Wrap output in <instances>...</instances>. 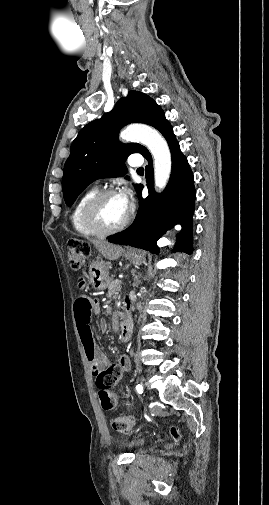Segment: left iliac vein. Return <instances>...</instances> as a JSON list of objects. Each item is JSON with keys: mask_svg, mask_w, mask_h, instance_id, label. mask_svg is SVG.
Returning a JSON list of instances; mask_svg holds the SVG:
<instances>
[{"mask_svg": "<svg viewBox=\"0 0 269 505\" xmlns=\"http://www.w3.org/2000/svg\"><path fill=\"white\" fill-rule=\"evenodd\" d=\"M152 410H151V414L152 416H155L157 414H159L161 412V409L159 407H157V405H152Z\"/></svg>", "mask_w": 269, "mask_h": 505, "instance_id": "1", "label": "left iliac vein"}]
</instances>
